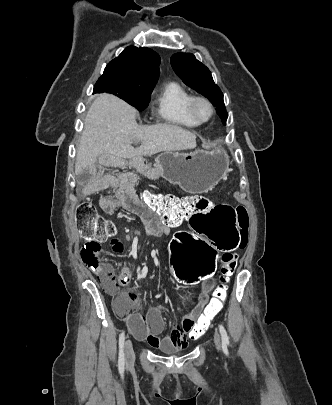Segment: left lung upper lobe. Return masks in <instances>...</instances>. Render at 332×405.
<instances>
[{
	"mask_svg": "<svg viewBox=\"0 0 332 405\" xmlns=\"http://www.w3.org/2000/svg\"><path fill=\"white\" fill-rule=\"evenodd\" d=\"M170 62L175 73L186 85L212 102L222 123L226 124L228 114L223 102V94L214 83L209 69L190 53H176L172 55Z\"/></svg>",
	"mask_w": 332,
	"mask_h": 405,
	"instance_id": "5c2ea615",
	"label": "left lung upper lobe"
}]
</instances>
